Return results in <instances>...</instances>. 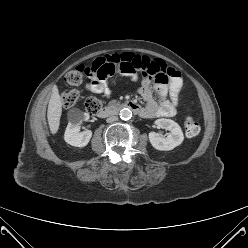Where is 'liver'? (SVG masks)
Instances as JSON below:
<instances>
[{
    "label": "liver",
    "mask_w": 248,
    "mask_h": 248,
    "mask_svg": "<svg viewBox=\"0 0 248 248\" xmlns=\"http://www.w3.org/2000/svg\"><path fill=\"white\" fill-rule=\"evenodd\" d=\"M61 114L62 101L59 95L58 88L55 86L52 89V94L49 100L47 110L48 124L52 134H56L59 129Z\"/></svg>",
    "instance_id": "obj_1"
}]
</instances>
